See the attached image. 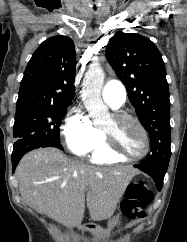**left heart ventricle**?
<instances>
[{"instance_id": "left-heart-ventricle-1", "label": "left heart ventricle", "mask_w": 187, "mask_h": 242, "mask_svg": "<svg viewBox=\"0 0 187 242\" xmlns=\"http://www.w3.org/2000/svg\"><path fill=\"white\" fill-rule=\"evenodd\" d=\"M116 144L131 155L141 154L144 150V138L139 129L130 122L117 124L112 117L108 118L103 126Z\"/></svg>"}]
</instances>
